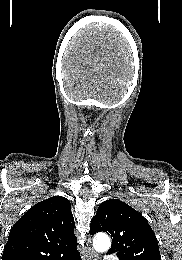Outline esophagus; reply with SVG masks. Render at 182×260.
<instances>
[{
  "instance_id": "esophagus-1",
  "label": "esophagus",
  "mask_w": 182,
  "mask_h": 260,
  "mask_svg": "<svg viewBox=\"0 0 182 260\" xmlns=\"http://www.w3.org/2000/svg\"><path fill=\"white\" fill-rule=\"evenodd\" d=\"M88 242H90V238H88ZM97 254L96 252L91 248L88 247L87 253H86V258L87 260H97Z\"/></svg>"
}]
</instances>
